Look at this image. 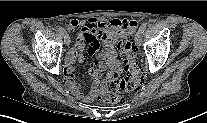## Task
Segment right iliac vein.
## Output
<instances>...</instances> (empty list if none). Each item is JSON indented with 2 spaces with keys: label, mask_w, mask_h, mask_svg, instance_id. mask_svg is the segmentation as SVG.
Here are the masks:
<instances>
[{
  "label": "right iliac vein",
  "mask_w": 207,
  "mask_h": 123,
  "mask_svg": "<svg viewBox=\"0 0 207 123\" xmlns=\"http://www.w3.org/2000/svg\"><path fill=\"white\" fill-rule=\"evenodd\" d=\"M64 41H65L66 45L70 44V37H69V35H67V34L64 35Z\"/></svg>",
  "instance_id": "1"
}]
</instances>
